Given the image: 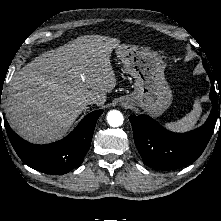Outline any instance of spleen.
I'll list each match as a JSON object with an SVG mask.
<instances>
[{"label": "spleen", "instance_id": "spleen-1", "mask_svg": "<svg viewBox=\"0 0 221 221\" xmlns=\"http://www.w3.org/2000/svg\"><path fill=\"white\" fill-rule=\"evenodd\" d=\"M201 112V104L198 100H195L193 104V109L186 116L176 122L166 123L165 126L169 130L174 132H186L192 130L199 120Z\"/></svg>", "mask_w": 221, "mask_h": 221}]
</instances>
